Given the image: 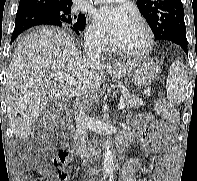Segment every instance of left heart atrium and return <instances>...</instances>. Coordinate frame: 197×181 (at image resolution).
<instances>
[{"mask_svg":"<svg viewBox=\"0 0 197 181\" xmlns=\"http://www.w3.org/2000/svg\"><path fill=\"white\" fill-rule=\"evenodd\" d=\"M93 18L96 25L114 41H118L133 22L126 8L115 6L97 9Z\"/></svg>","mask_w":197,"mask_h":181,"instance_id":"obj_1","label":"left heart atrium"}]
</instances>
